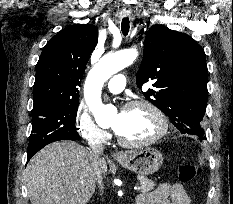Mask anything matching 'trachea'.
<instances>
[{"label": "trachea", "instance_id": "trachea-1", "mask_svg": "<svg viewBox=\"0 0 233 204\" xmlns=\"http://www.w3.org/2000/svg\"><path fill=\"white\" fill-rule=\"evenodd\" d=\"M129 28H130L129 18L128 17H124L122 19V23H121V31H122V34L124 36H126L128 34Z\"/></svg>", "mask_w": 233, "mask_h": 204}]
</instances>
